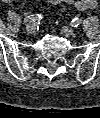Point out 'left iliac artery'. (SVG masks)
Masks as SVG:
<instances>
[{
	"mask_svg": "<svg viewBox=\"0 0 100 118\" xmlns=\"http://www.w3.org/2000/svg\"><path fill=\"white\" fill-rule=\"evenodd\" d=\"M81 23H82V20H81V19H78V18H74V19L71 21V25H72L73 27H77V26H79Z\"/></svg>",
	"mask_w": 100,
	"mask_h": 118,
	"instance_id": "left-iliac-artery-1",
	"label": "left iliac artery"
}]
</instances>
